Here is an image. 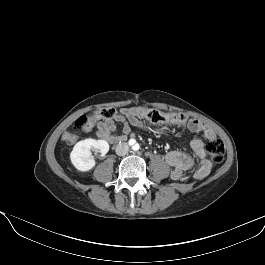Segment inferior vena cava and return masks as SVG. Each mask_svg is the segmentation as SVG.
<instances>
[{"label": "inferior vena cava", "mask_w": 265, "mask_h": 265, "mask_svg": "<svg viewBox=\"0 0 265 265\" xmlns=\"http://www.w3.org/2000/svg\"><path fill=\"white\" fill-rule=\"evenodd\" d=\"M129 151V145L125 142L119 143L116 146L115 152L118 156H124Z\"/></svg>", "instance_id": "obj_1"}]
</instances>
